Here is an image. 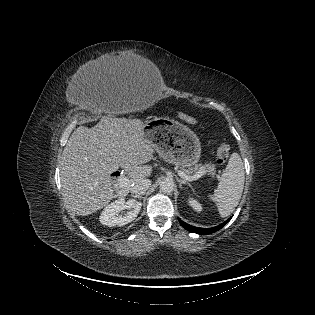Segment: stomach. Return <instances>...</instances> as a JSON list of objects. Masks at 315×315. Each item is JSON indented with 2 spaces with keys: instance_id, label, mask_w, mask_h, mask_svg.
<instances>
[{
  "instance_id": "1",
  "label": "stomach",
  "mask_w": 315,
  "mask_h": 315,
  "mask_svg": "<svg viewBox=\"0 0 315 315\" xmlns=\"http://www.w3.org/2000/svg\"><path fill=\"white\" fill-rule=\"evenodd\" d=\"M144 134L154 143L156 152L165 161L190 168L201 155L197 135L187 126L167 117H155L145 122Z\"/></svg>"
}]
</instances>
